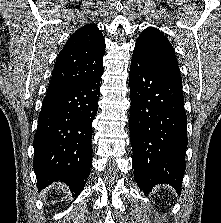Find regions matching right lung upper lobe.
<instances>
[{"instance_id": "1", "label": "right lung upper lobe", "mask_w": 221, "mask_h": 223, "mask_svg": "<svg viewBox=\"0 0 221 223\" xmlns=\"http://www.w3.org/2000/svg\"><path fill=\"white\" fill-rule=\"evenodd\" d=\"M104 54L105 40L97 25L78 29L57 57L47 94L73 87L102 72Z\"/></svg>"}]
</instances>
